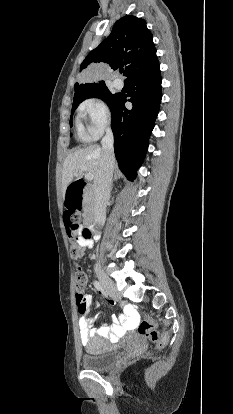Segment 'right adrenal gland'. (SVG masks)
Here are the masks:
<instances>
[{
  "label": "right adrenal gland",
  "mask_w": 233,
  "mask_h": 414,
  "mask_svg": "<svg viewBox=\"0 0 233 414\" xmlns=\"http://www.w3.org/2000/svg\"><path fill=\"white\" fill-rule=\"evenodd\" d=\"M112 186H113V182L111 183V189H112Z\"/></svg>",
  "instance_id": "right-adrenal-gland-1"
}]
</instances>
